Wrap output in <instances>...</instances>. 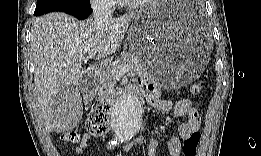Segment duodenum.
<instances>
[{"label":"duodenum","instance_id":"duodenum-1","mask_svg":"<svg viewBox=\"0 0 261 156\" xmlns=\"http://www.w3.org/2000/svg\"><path fill=\"white\" fill-rule=\"evenodd\" d=\"M126 93H127V95L130 96V97H135V96H137V94H138L133 87H129V88L127 89V92H126ZM114 101H115V97H114V96L106 97V98H104L103 104L109 107L110 104H113V103H114Z\"/></svg>","mask_w":261,"mask_h":156}]
</instances>
